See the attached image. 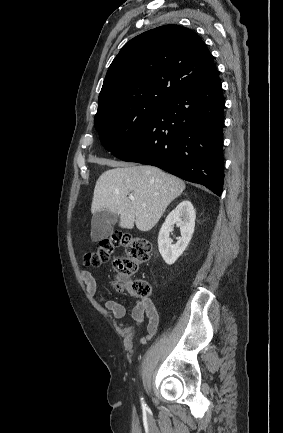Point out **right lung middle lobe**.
Returning <instances> with one entry per match:
<instances>
[{
	"instance_id": "obj_1",
	"label": "right lung middle lobe",
	"mask_w": 283,
	"mask_h": 433,
	"mask_svg": "<svg viewBox=\"0 0 283 433\" xmlns=\"http://www.w3.org/2000/svg\"><path fill=\"white\" fill-rule=\"evenodd\" d=\"M163 106L131 103L97 113L94 124L104 148L113 155L124 151Z\"/></svg>"
}]
</instances>
